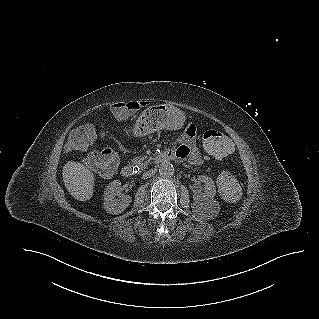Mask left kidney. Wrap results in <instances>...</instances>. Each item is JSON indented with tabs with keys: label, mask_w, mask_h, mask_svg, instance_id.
<instances>
[{
	"label": "left kidney",
	"mask_w": 319,
	"mask_h": 319,
	"mask_svg": "<svg viewBox=\"0 0 319 319\" xmlns=\"http://www.w3.org/2000/svg\"><path fill=\"white\" fill-rule=\"evenodd\" d=\"M198 184H204V192L201 193L199 190L194 192L195 203L203 207V209L208 210L211 206H215L219 209V204L214 200L216 194V188L214 181L209 176L201 175L198 177ZM216 210V214L219 210Z\"/></svg>",
	"instance_id": "obj_1"
}]
</instances>
